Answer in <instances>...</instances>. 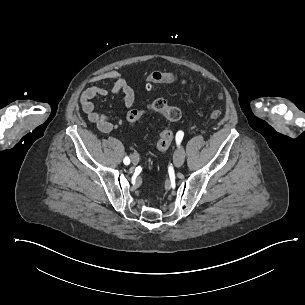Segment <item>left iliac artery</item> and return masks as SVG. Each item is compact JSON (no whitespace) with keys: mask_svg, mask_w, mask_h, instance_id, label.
Here are the masks:
<instances>
[{"mask_svg":"<svg viewBox=\"0 0 305 305\" xmlns=\"http://www.w3.org/2000/svg\"><path fill=\"white\" fill-rule=\"evenodd\" d=\"M183 136H184V134H183L182 131H179V132L177 133V135H176V142H177V144H180V142H181Z\"/></svg>","mask_w":305,"mask_h":305,"instance_id":"left-iliac-artery-1","label":"left iliac artery"}]
</instances>
